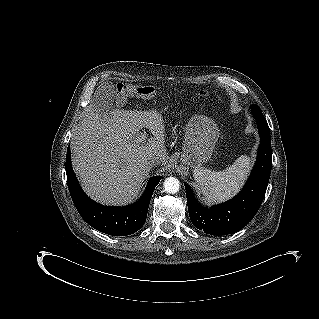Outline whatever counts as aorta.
Segmentation results:
<instances>
[{
    "instance_id": "1",
    "label": "aorta",
    "mask_w": 319,
    "mask_h": 319,
    "mask_svg": "<svg viewBox=\"0 0 319 319\" xmlns=\"http://www.w3.org/2000/svg\"><path fill=\"white\" fill-rule=\"evenodd\" d=\"M165 191L169 194H175L179 191L180 182L175 177H168L164 181Z\"/></svg>"
}]
</instances>
